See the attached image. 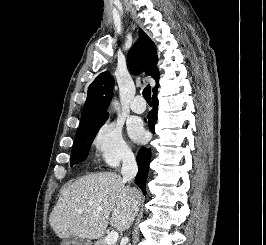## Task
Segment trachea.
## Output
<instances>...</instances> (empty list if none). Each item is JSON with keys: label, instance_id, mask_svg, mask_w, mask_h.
<instances>
[{"label": "trachea", "instance_id": "3493384b", "mask_svg": "<svg viewBox=\"0 0 266 245\" xmlns=\"http://www.w3.org/2000/svg\"><path fill=\"white\" fill-rule=\"evenodd\" d=\"M143 96H144L145 100L148 103H151V88H150V85H147V87H145V89L143 90Z\"/></svg>", "mask_w": 266, "mask_h": 245}]
</instances>
